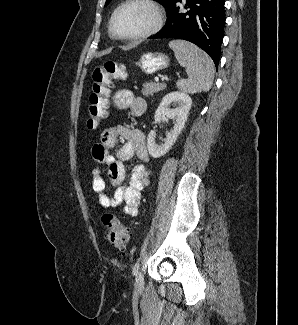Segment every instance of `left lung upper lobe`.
I'll list each match as a JSON object with an SVG mask.
<instances>
[{
    "label": "left lung upper lobe",
    "mask_w": 298,
    "mask_h": 325,
    "mask_svg": "<svg viewBox=\"0 0 298 325\" xmlns=\"http://www.w3.org/2000/svg\"><path fill=\"white\" fill-rule=\"evenodd\" d=\"M110 1L111 0H106L105 5H107ZM158 1H160L161 3H163L166 7H168L172 3L173 0H158Z\"/></svg>",
    "instance_id": "left-lung-upper-lobe-1"
}]
</instances>
